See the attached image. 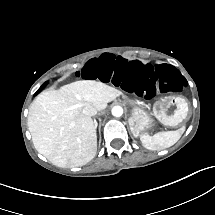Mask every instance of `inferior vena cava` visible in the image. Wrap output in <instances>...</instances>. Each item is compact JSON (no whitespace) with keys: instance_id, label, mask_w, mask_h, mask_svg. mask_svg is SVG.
<instances>
[{"instance_id":"602c4592","label":"inferior vena cava","mask_w":215,"mask_h":215,"mask_svg":"<svg viewBox=\"0 0 215 215\" xmlns=\"http://www.w3.org/2000/svg\"><path fill=\"white\" fill-rule=\"evenodd\" d=\"M83 114L87 116H94L97 114V110L95 107L88 105L84 107Z\"/></svg>"}]
</instances>
